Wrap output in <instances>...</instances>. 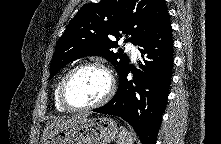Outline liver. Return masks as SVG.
I'll use <instances>...</instances> for the list:
<instances>
[{
	"mask_svg": "<svg viewBox=\"0 0 221 144\" xmlns=\"http://www.w3.org/2000/svg\"><path fill=\"white\" fill-rule=\"evenodd\" d=\"M84 118H86L85 116H74L71 118H67V119H56L54 121L48 122L46 125V128L43 131V135H42V143L45 142V140L48 137H51L55 132L68 127L72 124L78 123L81 120H83Z\"/></svg>",
	"mask_w": 221,
	"mask_h": 144,
	"instance_id": "1",
	"label": "liver"
}]
</instances>
